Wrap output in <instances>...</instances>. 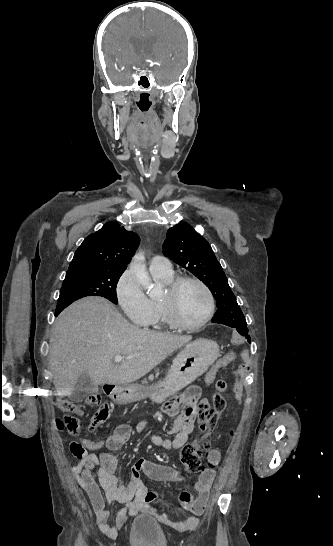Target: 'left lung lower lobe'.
<instances>
[{
  "mask_svg": "<svg viewBox=\"0 0 333 546\" xmlns=\"http://www.w3.org/2000/svg\"><path fill=\"white\" fill-rule=\"evenodd\" d=\"M211 321H212L213 323H221V324H224V325L229 326L228 324H225V323H224L223 319H221V318H219V317H216V316H214V317L212 318ZM230 327H231V326H230ZM236 329H237V331H238L242 336H244V337L248 340V342L250 343V336L248 335V328H247V326L237 327Z\"/></svg>",
  "mask_w": 333,
  "mask_h": 546,
  "instance_id": "obj_1",
  "label": "left lung lower lobe"
}]
</instances>
